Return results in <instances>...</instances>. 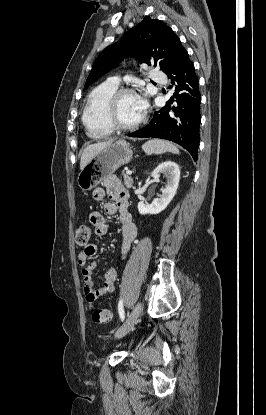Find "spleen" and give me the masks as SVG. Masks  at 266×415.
Masks as SVG:
<instances>
[{
  "mask_svg": "<svg viewBox=\"0 0 266 415\" xmlns=\"http://www.w3.org/2000/svg\"><path fill=\"white\" fill-rule=\"evenodd\" d=\"M142 149L147 154L160 155L166 152L179 154L178 148L172 143L164 140L153 139L142 145Z\"/></svg>",
  "mask_w": 266,
  "mask_h": 415,
  "instance_id": "spleen-1",
  "label": "spleen"
}]
</instances>
